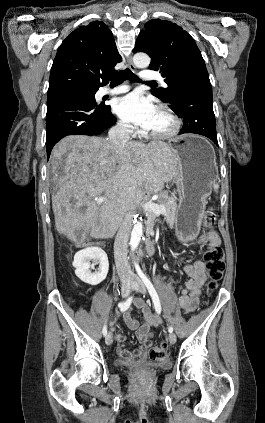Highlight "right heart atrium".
Listing matches in <instances>:
<instances>
[{"mask_svg":"<svg viewBox=\"0 0 265 423\" xmlns=\"http://www.w3.org/2000/svg\"><path fill=\"white\" fill-rule=\"evenodd\" d=\"M117 128L119 130H121V131H123L125 133H129V134H131V133L134 132V127L130 123H128V122H126L124 120H119L117 122Z\"/></svg>","mask_w":265,"mask_h":423,"instance_id":"obj_1","label":"right heart atrium"}]
</instances>
